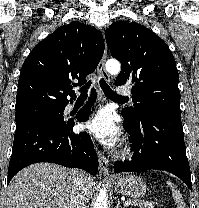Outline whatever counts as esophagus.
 <instances>
[{
    "instance_id": "obj_1",
    "label": "esophagus",
    "mask_w": 199,
    "mask_h": 208,
    "mask_svg": "<svg viewBox=\"0 0 199 208\" xmlns=\"http://www.w3.org/2000/svg\"><path fill=\"white\" fill-rule=\"evenodd\" d=\"M106 58H107V52H106V46H105V51L103 54V57L98 65V72L100 75L106 80L109 81L110 77L105 69V63H106ZM98 92H99V99L101 102L105 101L104 94L101 90V88L98 86ZM97 156H98V162H99V169L101 174L103 175H109V162L108 159L97 149Z\"/></svg>"
}]
</instances>
